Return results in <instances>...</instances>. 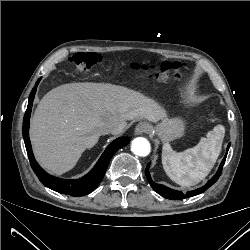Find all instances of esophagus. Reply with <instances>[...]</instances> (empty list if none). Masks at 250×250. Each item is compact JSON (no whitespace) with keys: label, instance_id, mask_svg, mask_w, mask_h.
Listing matches in <instances>:
<instances>
[{"label":"esophagus","instance_id":"1","mask_svg":"<svg viewBox=\"0 0 250 250\" xmlns=\"http://www.w3.org/2000/svg\"><path fill=\"white\" fill-rule=\"evenodd\" d=\"M149 130H150V126H149L148 123L140 122V123L137 124V126L135 128V134L136 135H141V134L149 132Z\"/></svg>","mask_w":250,"mask_h":250}]
</instances>
